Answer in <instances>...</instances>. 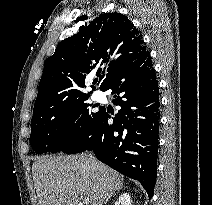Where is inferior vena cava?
Here are the masks:
<instances>
[{
	"instance_id": "602c4592",
	"label": "inferior vena cava",
	"mask_w": 212,
	"mask_h": 205,
	"mask_svg": "<svg viewBox=\"0 0 212 205\" xmlns=\"http://www.w3.org/2000/svg\"><path fill=\"white\" fill-rule=\"evenodd\" d=\"M89 158H90V160L94 161V158L92 156H90Z\"/></svg>"
}]
</instances>
